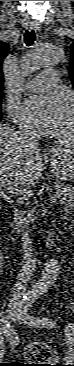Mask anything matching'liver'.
<instances>
[{"mask_svg": "<svg viewBox=\"0 0 74 366\" xmlns=\"http://www.w3.org/2000/svg\"><path fill=\"white\" fill-rule=\"evenodd\" d=\"M43 170V157L38 147L23 144L20 131L1 124L0 194L16 195L17 189L35 186Z\"/></svg>", "mask_w": 74, "mask_h": 366, "instance_id": "1", "label": "liver"}]
</instances>
